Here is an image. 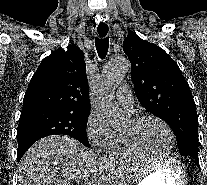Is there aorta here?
I'll use <instances>...</instances> for the list:
<instances>
[{
	"instance_id": "1",
	"label": "aorta",
	"mask_w": 207,
	"mask_h": 185,
	"mask_svg": "<svg viewBox=\"0 0 207 185\" xmlns=\"http://www.w3.org/2000/svg\"><path fill=\"white\" fill-rule=\"evenodd\" d=\"M130 70V62L126 57H115L109 60L101 72L98 106L110 126L115 130L124 128L129 116L117 104L115 90Z\"/></svg>"
}]
</instances>
